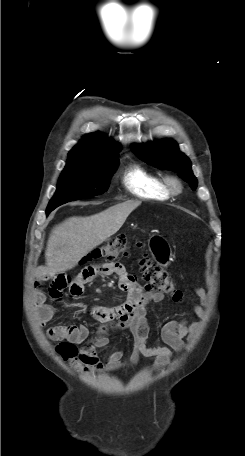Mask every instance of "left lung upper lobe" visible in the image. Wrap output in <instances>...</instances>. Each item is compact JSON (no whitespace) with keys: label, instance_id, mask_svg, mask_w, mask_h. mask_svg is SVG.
<instances>
[{"label":"left lung upper lobe","instance_id":"obj_1","mask_svg":"<svg viewBox=\"0 0 245 456\" xmlns=\"http://www.w3.org/2000/svg\"><path fill=\"white\" fill-rule=\"evenodd\" d=\"M134 154L155 167L170 169L189 183L193 190L197 188V180L191 171V162L178 150V145L168 139L151 144H133Z\"/></svg>","mask_w":245,"mask_h":456}]
</instances>
